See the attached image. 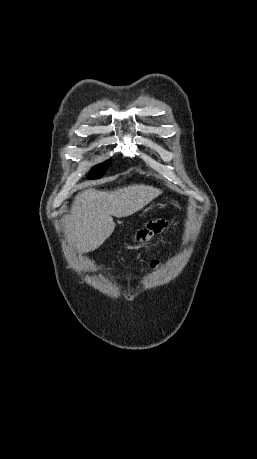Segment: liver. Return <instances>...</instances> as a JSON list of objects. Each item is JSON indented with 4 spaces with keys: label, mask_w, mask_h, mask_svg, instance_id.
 <instances>
[{
    "label": "liver",
    "mask_w": 257,
    "mask_h": 459,
    "mask_svg": "<svg viewBox=\"0 0 257 459\" xmlns=\"http://www.w3.org/2000/svg\"><path fill=\"white\" fill-rule=\"evenodd\" d=\"M149 185L133 184L113 191L94 188L80 192L72 205L66 223L67 238L79 252L97 249L113 233L117 218L130 216L160 194Z\"/></svg>",
    "instance_id": "6515ba94"
}]
</instances>
